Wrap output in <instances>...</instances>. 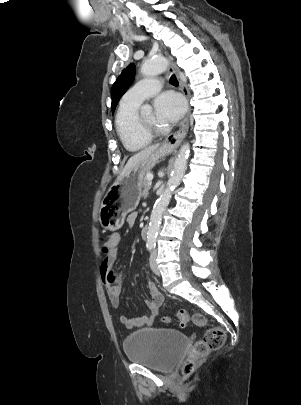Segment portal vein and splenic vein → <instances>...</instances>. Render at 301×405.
I'll return each instance as SVG.
<instances>
[{
  "label": "portal vein and splenic vein",
  "mask_w": 301,
  "mask_h": 405,
  "mask_svg": "<svg viewBox=\"0 0 301 405\" xmlns=\"http://www.w3.org/2000/svg\"><path fill=\"white\" fill-rule=\"evenodd\" d=\"M147 179L150 181V184H151V181H152V179H153V175L152 174H147Z\"/></svg>",
  "instance_id": "18ae733b"
}]
</instances>
